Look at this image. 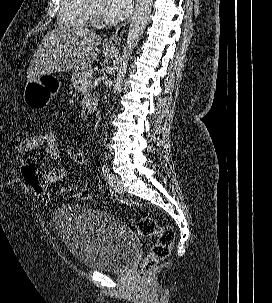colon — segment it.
<instances>
[{
    "label": "colon",
    "mask_w": 272,
    "mask_h": 303,
    "mask_svg": "<svg viewBox=\"0 0 272 303\" xmlns=\"http://www.w3.org/2000/svg\"><path fill=\"white\" fill-rule=\"evenodd\" d=\"M40 144L46 149H55L58 147L56 133L51 129H44L36 135ZM71 164L75 170H81L85 167L86 159L82 152H75L71 156ZM22 175L27 183L32 187L40 200L48 202L50 194L47 191L42 175L36 171L35 166L25 165L22 168ZM61 196L66 199L77 198L83 201H91L93 196L90 190L83 187H64L61 190ZM137 230L144 237H156V241L151 245L148 255L140 266L142 275L150 271L157 263L166 259L172 249L175 232L169 225H159L158 222L149 216L141 217L137 221Z\"/></svg>",
    "instance_id": "obj_1"
}]
</instances>
